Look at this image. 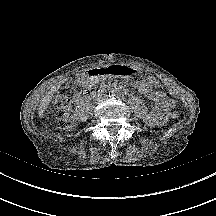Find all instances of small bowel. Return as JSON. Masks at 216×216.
<instances>
[{
  "label": "small bowel",
  "mask_w": 216,
  "mask_h": 216,
  "mask_svg": "<svg viewBox=\"0 0 216 216\" xmlns=\"http://www.w3.org/2000/svg\"><path fill=\"white\" fill-rule=\"evenodd\" d=\"M158 84V81L151 76L133 84L137 91L157 104L146 117V123L150 126L163 123L175 106V101L171 97L157 89Z\"/></svg>",
  "instance_id": "obj_1"
}]
</instances>
